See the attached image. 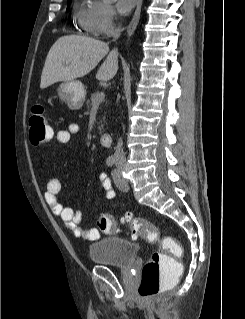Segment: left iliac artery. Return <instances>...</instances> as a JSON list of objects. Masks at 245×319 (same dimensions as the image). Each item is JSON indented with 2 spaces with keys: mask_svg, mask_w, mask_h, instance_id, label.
<instances>
[{
  "mask_svg": "<svg viewBox=\"0 0 245 319\" xmlns=\"http://www.w3.org/2000/svg\"><path fill=\"white\" fill-rule=\"evenodd\" d=\"M112 177H113V179H114V182L119 185L118 171H117L116 169H114V170L112 171Z\"/></svg>",
  "mask_w": 245,
  "mask_h": 319,
  "instance_id": "left-iliac-artery-1",
  "label": "left iliac artery"
}]
</instances>
